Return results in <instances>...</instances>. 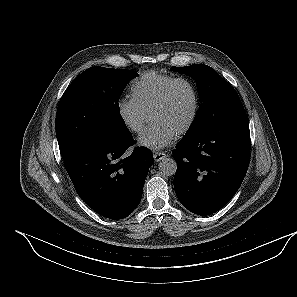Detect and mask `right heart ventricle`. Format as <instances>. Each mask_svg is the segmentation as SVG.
Wrapping results in <instances>:
<instances>
[{
  "mask_svg": "<svg viewBox=\"0 0 297 297\" xmlns=\"http://www.w3.org/2000/svg\"><path fill=\"white\" fill-rule=\"evenodd\" d=\"M174 78L156 71L145 72L131 86L132 98L148 114L165 86Z\"/></svg>",
  "mask_w": 297,
  "mask_h": 297,
  "instance_id": "e07e8e85",
  "label": "right heart ventricle"
}]
</instances>
